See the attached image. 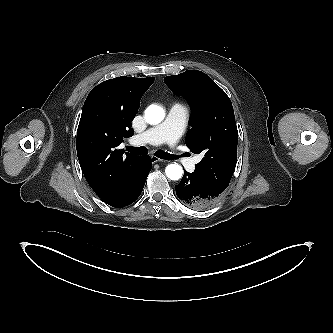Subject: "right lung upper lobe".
I'll list each match as a JSON object with an SVG mask.
<instances>
[{"label": "right lung upper lobe", "mask_w": 333, "mask_h": 333, "mask_svg": "<svg viewBox=\"0 0 333 333\" xmlns=\"http://www.w3.org/2000/svg\"><path fill=\"white\" fill-rule=\"evenodd\" d=\"M153 82L154 77H117L97 85L85 100L77 155L88 184L109 205L123 196L132 169L142 157L130 153L125 157L118 146L124 137L133 136L131 122Z\"/></svg>", "instance_id": "cb5924a9"}]
</instances>
